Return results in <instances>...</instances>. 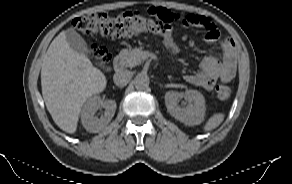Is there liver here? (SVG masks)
Listing matches in <instances>:
<instances>
[{
	"label": "liver",
	"mask_w": 292,
	"mask_h": 184,
	"mask_svg": "<svg viewBox=\"0 0 292 184\" xmlns=\"http://www.w3.org/2000/svg\"><path fill=\"white\" fill-rule=\"evenodd\" d=\"M106 83L105 75L69 46L65 32L52 41L42 63L41 87L47 110L60 129L75 133L81 107Z\"/></svg>",
	"instance_id": "obj_1"
}]
</instances>
